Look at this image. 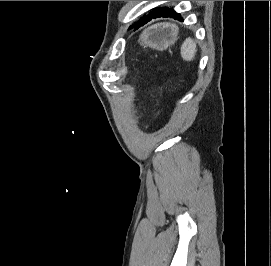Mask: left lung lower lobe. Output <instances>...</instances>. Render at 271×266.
<instances>
[{"mask_svg": "<svg viewBox=\"0 0 271 266\" xmlns=\"http://www.w3.org/2000/svg\"><path fill=\"white\" fill-rule=\"evenodd\" d=\"M160 17H170V18H174L176 20L182 21L180 14L176 13L173 9H171L170 11H156V12H152V13L148 14L147 16L141 18L138 21V23L135 24L136 29L145 25L146 23H148L152 19H156V18H160Z\"/></svg>", "mask_w": 271, "mask_h": 266, "instance_id": "obj_1", "label": "left lung lower lobe"}]
</instances>
